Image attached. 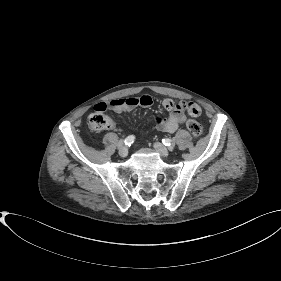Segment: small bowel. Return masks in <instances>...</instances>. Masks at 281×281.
<instances>
[{"label":"small bowel","instance_id":"c3829d8e","mask_svg":"<svg viewBox=\"0 0 281 281\" xmlns=\"http://www.w3.org/2000/svg\"><path fill=\"white\" fill-rule=\"evenodd\" d=\"M153 104V98L148 95L139 97L117 98L107 102H99L94 108L95 110L111 109L115 112L131 111L137 107H150ZM191 105L199 107L197 104L185 101H174L170 98L162 100V106L168 111L167 117L158 116L155 118L154 127L162 132L173 133L186 118V113L198 116L199 113H193L189 107ZM200 108V107H199Z\"/></svg>","mask_w":281,"mask_h":281}]
</instances>
